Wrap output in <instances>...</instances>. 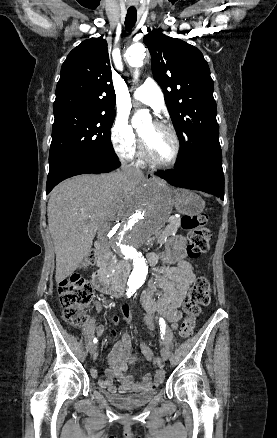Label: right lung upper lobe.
Masks as SVG:
<instances>
[{
	"label": "right lung upper lobe",
	"mask_w": 277,
	"mask_h": 438,
	"mask_svg": "<svg viewBox=\"0 0 277 438\" xmlns=\"http://www.w3.org/2000/svg\"><path fill=\"white\" fill-rule=\"evenodd\" d=\"M115 103L107 43L102 38L85 40L62 65L54 116L115 115Z\"/></svg>",
	"instance_id": "cb5924a9"
}]
</instances>
